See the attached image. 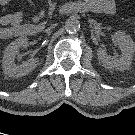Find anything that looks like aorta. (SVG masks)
<instances>
[{
	"mask_svg": "<svg viewBox=\"0 0 135 135\" xmlns=\"http://www.w3.org/2000/svg\"><path fill=\"white\" fill-rule=\"evenodd\" d=\"M65 29L69 33H76L80 29V22L76 18H70L65 22Z\"/></svg>",
	"mask_w": 135,
	"mask_h": 135,
	"instance_id": "1",
	"label": "aorta"
}]
</instances>
